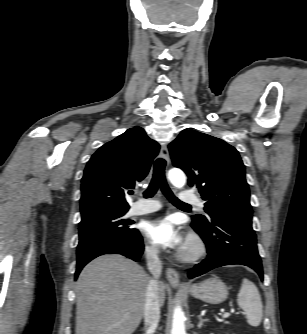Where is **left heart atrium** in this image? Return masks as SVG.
<instances>
[{
  "mask_svg": "<svg viewBox=\"0 0 307 334\" xmlns=\"http://www.w3.org/2000/svg\"><path fill=\"white\" fill-rule=\"evenodd\" d=\"M144 234L157 246L180 248L184 244V239L170 216L147 222L144 226Z\"/></svg>",
  "mask_w": 307,
  "mask_h": 334,
  "instance_id": "39dd6f15",
  "label": "left heart atrium"
}]
</instances>
